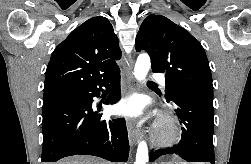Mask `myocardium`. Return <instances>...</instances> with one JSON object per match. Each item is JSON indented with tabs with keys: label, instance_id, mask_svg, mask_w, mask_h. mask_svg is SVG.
I'll list each match as a JSON object with an SVG mask.
<instances>
[{
	"label": "myocardium",
	"instance_id": "f54148a6",
	"mask_svg": "<svg viewBox=\"0 0 251 164\" xmlns=\"http://www.w3.org/2000/svg\"><path fill=\"white\" fill-rule=\"evenodd\" d=\"M180 128L177 121L169 114H163L155 127L152 142L158 147H169L180 139Z\"/></svg>",
	"mask_w": 251,
	"mask_h": 164
}]
</instances>
